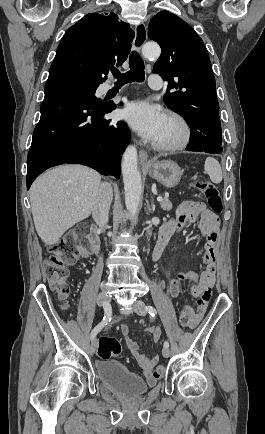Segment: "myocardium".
<instances>
[{
	"label": "myocardium",
	"instance_id": "obj_1",
	"mask_svg": "<svg viewBox=\"0 0 265 434\" xmlns=\"http://www.w3.org/2000/svg\"><path fill=\"white\" fill-rule=\"evenodd\" d=\"M167 121L177 129L175 138L167 144L153 145L154 150L162 153H176L184 149L190 142L191 128L184 116L177 112H171L167 116Z\"/></svg>",
	"mask_w": 265,
	"mask_h": 434
}]
</instances>
